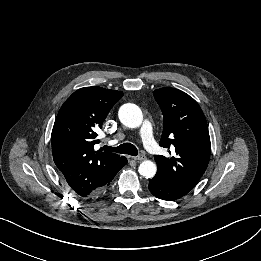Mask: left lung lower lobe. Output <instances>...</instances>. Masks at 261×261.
<instances>
[{"instance_id": "obj_1", "label": "left lung lower lobe", "mask_w": 261, "mask_h": 261, "mask_svg": "<svg viewBox=\"0 0 261 261\" xmlns=\"http://www.w3.org/2000/svg\"><path fill=\"white\" fill-rule=\"evenodd\" d=\"M149 190L157 198L166 201H174L184 196L170 188L167 183L157 175L149 181Z\"/></svg>"}]
</instances>
